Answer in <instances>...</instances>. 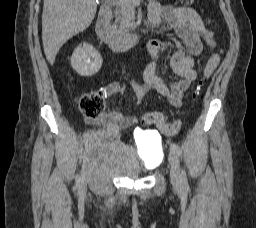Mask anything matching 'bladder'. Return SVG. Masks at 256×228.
Here are the masks:
<instances>
[{"mask_svg": "<svg viewBox=\"0 0 256 228\" xmlns=\"http://www.w3.org/2000/svg\"><path fill=\"white\" fill-rule=\"evenodd\" d=\"M140 140L141 156L135 148L123 143L116 132H91L85 143L86 154L92 165L112 175L138 178L143 172L157 167L163 157V147L158 138L142 136Z\"/></svg>", "mask_w": 256, "mask_h": 228, "instance_id": "31cf9c89", "label": "bladder"}]
</instances>
